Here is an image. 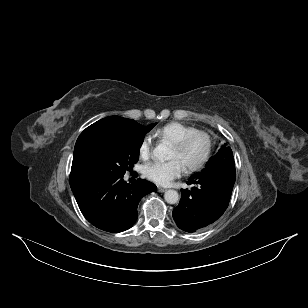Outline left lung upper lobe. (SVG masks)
<instances>
[{
	"instance_id": "left-lung-upper-lobe-1",
	"label": "left lung upper lobe",
	"mask_w": 308,
	"mask_h": 308,
	"mask_svg": "<svg viewBox=\"0 0 308 308\" xmlns=\"http://www.w3.org/2000/svg\"><path fill=\"white\" fill-rule=\"evenodd\" d=\"M223 159H233L232 150L230 147L226 146V144H224L218 153L209 160L207 166Z\"/></svg>"
}]
</instances>
